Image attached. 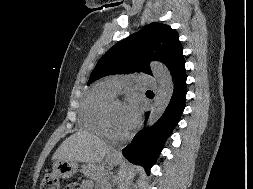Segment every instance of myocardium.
Returning a JSON list of instances; mask_svg holds the SVG:
<instances>
[{"label":"myocardium","instance_id":"myocardium-1","mask_svg":"<svg viewBox=\"0 0 253 189\" xmlns=\"http://www.w3.org/2000/svg\"><path fill=\"white\" fill-rule=\"evenodd\" d=\"M114 103H122V101L118 97L113 96L112 98H110L109 100L106 101V103L104 104V106L102 108L101 122H102V127L104 130V133L107 136L112 137V138L128 139L132 135V132L136 127V124L124 133H117V132L113 131L112 128L110 127V123H109V112H110L111 106Z\"/></svg>","mask_w":253,"mask_h":189}]
</instances>
